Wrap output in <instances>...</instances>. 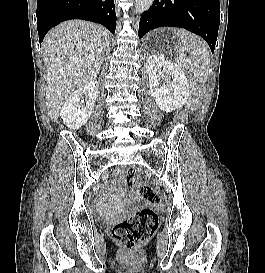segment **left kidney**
Instances as JSON below:
<instances>
[{"label":"left kidney","instance_id":"obj_1","mask_svg":"<svg viewBox=\"0 0 265 273\" xmlns=\"http://www.w3.org/2000/svg\"><path fill=\"white\" fill-rule=\"evenodd\" d=\"M145 68L150 91L158 107L166 113L182 108L189 97V83L183 70L177 64L155 55L147 58ZM160 68H163L164 78L169 80L166 85H161V77L157 75Z\"/></svg>","mask_w":265,"mask_h":273}]
</instances>
